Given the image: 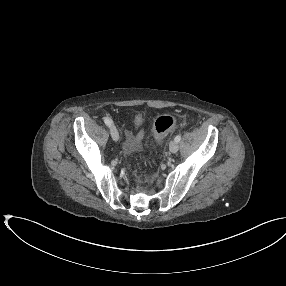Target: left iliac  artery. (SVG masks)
I'll return each instance as SVG.
<instances>
[{"mask_svg": "<svg viewBox=\"0 0 286 286\" xmlns=\"http://www.w3.org/2000/svg\"><path fill=\"white\" fill-rule=\"evenodd\" d=\"M181 140V135L179 134V135H177L176 137H175V141L176 142H179Z\"/></svg>", "mask_w": 286, "mask_h": 286, "instance_id": "1", "label": "left iliac artery"}]
</instances>
